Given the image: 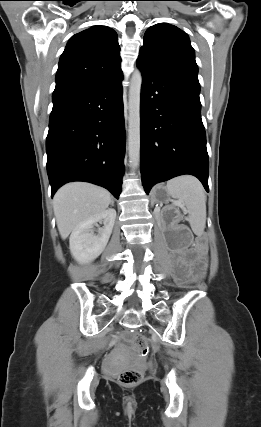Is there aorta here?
I'll return each mask as SVG.
<instances>
[{"instance_id": "1", "label": "aorta", "mask_w": 261, "mask_h": 427, "mask_svg": "<svg viewBox=\"0 0 261 427\" xmlns=\"http://www.w3.org/2000/svg\"><path fill=\"white\" fill-rule=\"evenodd\" d=\"M142 75L136 70L131 77L128 101V152L133 169H136L140 161V96Z\"/></svg>"}]
</instances>
